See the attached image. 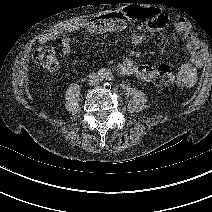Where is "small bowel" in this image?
<instances>
[{"instance_id":"small-bowel-1","label":"small bowel","mask_w":212,"mask_h":212,"mask_svg":"<svg viewBox=\"0 0 212 212\" xmlns=\"http://www.w3.org/2000/svg\"><path fill=\"white\" fill-rule=\"evenodd\" d=\"M132 23L135 32H140L144 24H150L153 28L162 30L172 25L178 31H186L187 23L183 18L171 19L168 15L155 7H140L139 5H127L119 10L105 13L95 19L79 20L60 23L51 27L40 35L38 41L42 44L61 38V52L65 57L72 54V47L68 34L84 30L92 34L118 33ZM136 36H139L137 33ZM184 47L191 57V62L184 63L178 71L177 83L181 86H191L195 82V66L202 61V54L197 41L191 36H186ZM117 70L125 75H134L140 80L150 81L154 77V70L149 65L136 64L130 60H124L117 65Z\"/></svg>"}]
</instances>
